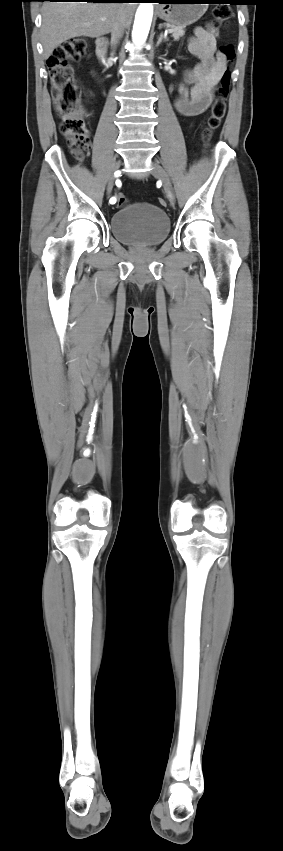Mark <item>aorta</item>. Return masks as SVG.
<instances>
[{
  "label": "aorta",
  "instance_id": "aorta-1",
  "mask_svg": "<svg viewBox=\"0 0 283 851\" xmlns=\"http://www.w3.org/2000/svg\"><path fill=\"white\" fill-rule=\"evenodd\" d=\"M153 17L152 3H141L137 9L133 30L132 40L137 46L145 43Z\"/></svg>",
  "mask_w": 283,
  "mask_h": 851
}]
</instances>
